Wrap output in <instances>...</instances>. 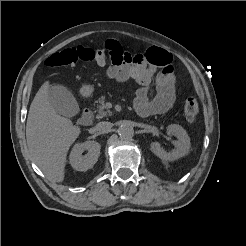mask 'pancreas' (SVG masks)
I'll list each match as a JSON object with an SVG mask.
<instances>
[{"label": "pancreas", "instance_id": "cf45deb5", "mask_svg": "<svg viewBox=\"0 0 246 246\" xmlns=\"http://www.w3.org/2000/svg\"><path fill=\"white\" fill-rule=\"evenodd\" d=\"M99 105L97 106L98 110H97V115L96 118L97 119H101L103 117H107L109 115H111V111L107 109L106 107V103H105V98L101 97L99 100Z\"/></svg>", "mask_w": 246, "mask_h": 246}]
</instances>
